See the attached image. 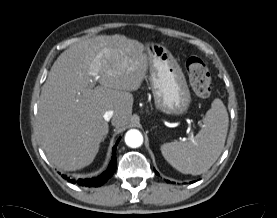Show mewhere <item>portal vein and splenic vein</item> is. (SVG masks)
<instances>
[{"instance_id": "obj_1", "label": "portal vein and splenic vein", "mask_w": 277, "mask_h": 218, "mask_svg": "<svg viewBox=\"0 0 277 218\" xmlns=\"http://www.w3.org/2000/svg\"><path fill=\"white\" fill-rule=\"evenodd\" d=\"M91 69H92L91 74H92V76L94 77V79H95V80H96V79H98V76H97V70H96V69H94V67H93V66H91ZM93 86H94V82H91L90 87H93ZM191 137H192V135H191Z\"/></svg>"}]
</instances>
